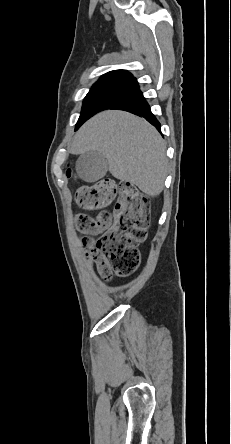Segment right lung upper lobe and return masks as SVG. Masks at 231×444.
<instances>
[{
  "label": "right lung upper lobe",
  "instance_id": "cb5924a9",
  "mask_svg": "<svg viewBox=\"0 0 231 444\" xmlns=\"http://www.w3.org/2000/svg\"><path fill=\"white\" fill-rule=\"evenodd\" d=\"M101 86H114L124 89L127 93L139 89L135 77L126 70H114L104 74L92 88Z\"/></svg>",
  "mask_w": 231,
  "mask_h": 444
}]
</instances>
